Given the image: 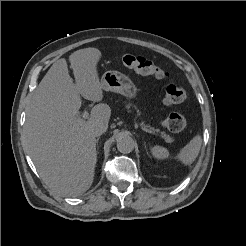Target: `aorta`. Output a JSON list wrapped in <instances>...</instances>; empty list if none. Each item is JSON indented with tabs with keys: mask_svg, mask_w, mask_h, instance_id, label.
I'll use <instances>...</instances> for the list:
<instances>
[{
	"mask_svg": "<svg viewBox=\"0 0 246 246\" xmlns=\"http://www.w3.org/2000/svg\"><path fill=\"white\" fill-rule=\"evenodd\" d=\"M117 149L123 154L131 153L134 149V141L131 136L126 133H121L118 135L117 139Z\"/></svg>",
	"mask_w": 246,
	"mask_h": 246,
	"instance_id": "762f6f07",
	"label": "aorta"
}]
</instances>
